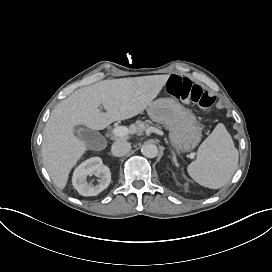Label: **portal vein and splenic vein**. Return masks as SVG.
Returning <instances> with one entry per match:
<instances>
[{
  "label": "portal vein and splenic vein",
  "instance_id": "18ae733b",
  "mask_svg": "<svg viewBox=\"0 0 272 272\" xmlns=\"http://www.w3.org/2000/svg\"><path fill=\"white\" fill-rule=\"evenodd\" d=\"M112 133L115 136H125L128 133V129L124 126H117L112 129Z\"/></svg>",
  "mask_w": 272,
  "mask_h": 272
}]
</instances>
